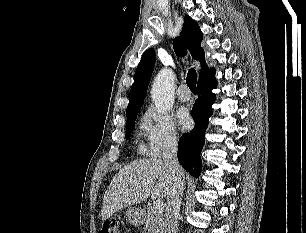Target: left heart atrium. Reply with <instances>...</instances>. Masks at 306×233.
<instances>
[{
	"label": "left heart atrium",
	"instance_id": "39dd6f15",
	"mask_svg": "<svg viewBox=\"0 0 306 233\" xmlns=\"http://www.w3.org/2000/svg\"><path fill=\"white\" fill-rule=\"evenodd\" d=\"M178 121L183 130L189 129L192 123L191 118L186 111H180L178 113Z\"/></svg>",
	"mask_w": 306,
	"mask_h": 233
}]
</instances>
